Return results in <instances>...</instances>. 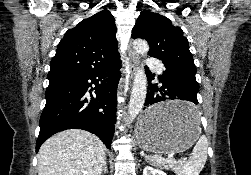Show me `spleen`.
<instances>
[{"label": "spleen", "instance_id": "1", "mask_svg": "<svg viewBox=\"0 0 251 175\" xmlns=\"http://www.w3.org/2000/svg\"><path fill=\"white\" fill-rule=\"evenodd\" d=\"M189 117H198V111H192ZM207 149V137L206 135H200L195 147H193V153L190 159H187V161H180V163L170 161V165L177 175H199L206 163Z\"/></svg>", "mask_w": 251, "mask_h": 175}]
</instances>
